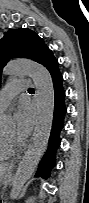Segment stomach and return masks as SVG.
Here are the masks:
<instances>
[{
	"mask_svg": "<svg viewBox=\"0 0 89 203\" xmlns=\"http://www.w3.org/2000/svg\"><path fill=\"white\" fill-rule=\"evenodd\" d=\"M11 172H12V166H8V168L6 169L3 181H2L4 185L8 184Z\"/></svg>",
	"mask_w": 89,
	"mask_h": 203,
	"instance_id": "obj_1",
	"label": "stomach"
}]
</instances>
